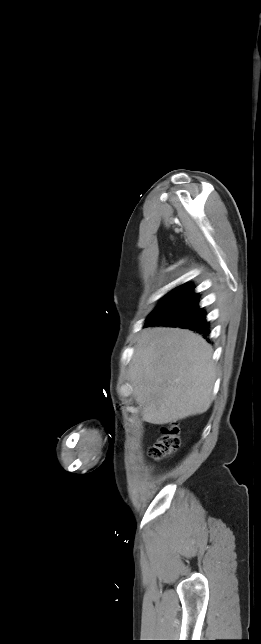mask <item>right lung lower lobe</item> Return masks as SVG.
<instances>
[{
    "mask_svg": "<svg viewBox=\"0 0 261 644\" xmlns=\"http://www.w3.org/2000/svg\"><path fill=\"white\" fill-rule=\"evenodd\" d=\"M198 298L199 296L159 320L146 322L145 326L164 325L187 328L203 334L209 341L207 338L210 333L209 322L206 320L205 310L198 305Z\"/></svg>",
    "mask_w": 261,
    "mask_h": 644,
    "instance_id": "obj_1",
    "label": "right lung lower lobe"
}]
</instances>
